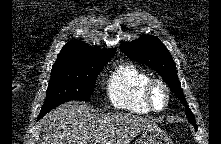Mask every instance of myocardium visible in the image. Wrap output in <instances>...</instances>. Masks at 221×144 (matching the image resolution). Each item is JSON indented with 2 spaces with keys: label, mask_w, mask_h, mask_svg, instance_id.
Listing matches in <instances>:
<instances>
[{
  "label": "myocardium",
  "mask_w": 221,
  "mask_h": 144,
  "mask_svg": "<svg viewBox=\"0 0 221 144\" xmlns=\"http://www.w3.org/2000/svg\"><path fill=\"white\" fill-rule=\"evenodd\" d=\"M156 87H160L165 94V104L161 108L156 107L153 100V93ZM145 100L148 106L151 108V110L156 112L164 111L168 107L170 102V90L168 85L162 79L159 78L150 79L145 86Z\"/></svg>",
  "instance_id": "1"
}]
</instances>
